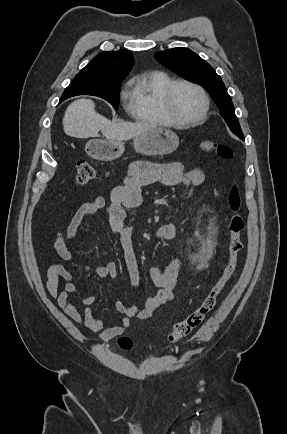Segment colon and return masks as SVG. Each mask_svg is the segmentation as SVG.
Wrapping results in <instances>:
<instances>
[{
    "mask_svg": "<svg viewBox=\"0 0 287 434\" xmlns=\"http://www.w3.org/2000/svg\"><path fill=\"white\" fill-rule=\"evenodd\" d=\"M201 149L204 152L213 153L222 158H228L232 154L229 147L211 140L202 141ZM97 173V169L90 163L85 161L78 162L76 165L75 184L85 185L94 180L97 177ZM228 205L230 209V220L228 240L229 256L227 264L220 277L203 298L199 306L190 312L183 320L174 324L172 332L168 337L170 343H176L182 340L200 326L205 317L214 309L218 296L236 272L239 256L243 250L242 233L244 231L242 197L237 185H233L229 191ZM117 343L123 350H130L133 345L132 340L125 336L120 337Z\"/></svg>",
    "mask_w": 287,
    "mask_h": 434,
    "instance_id": "obj_1",
    "label": "colon"
}]
</instances>
